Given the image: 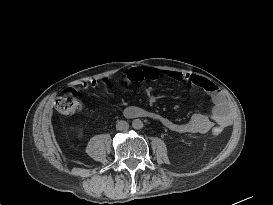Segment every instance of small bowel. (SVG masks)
<instances>
[{"instance_id": "c3829d8e", "label": "small bowel", "mask_w": 273, "mask_h": 205, "mask_svg": "<svg viewBox=\"0 0 273 205\" xmlns=\"http://www.w3.org/2000/svg\"><path fill=\"white\" fill-rule=\"evenodd\" d=\"M147 79L155 80L161 76H167L171 79L181 81H189L192 85L200 87L207 91L210 95V98L213 102V108L211 113L203 114L197 113L194 114L190 120L184 123L174 122L166 117L160 115H154L167 129L177 132V133H197L205 134L212 130L215 127H225L231 123V114L229 105L219 90V88L210 80L205 77L194 75V74H182L176 71H167L157 68H146ZM124 84H127L128 81L124 80ZM141 108L136 106H131L127 108L128 115L135 116L140 112Z\"/></svg>"}]
</instances>
